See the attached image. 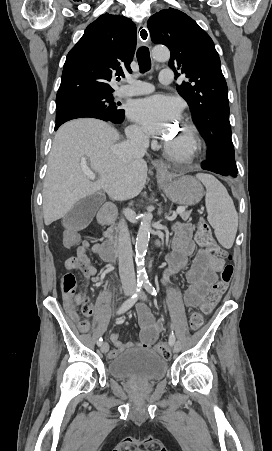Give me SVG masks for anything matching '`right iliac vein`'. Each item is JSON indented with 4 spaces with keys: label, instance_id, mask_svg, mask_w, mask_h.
<instances>
[{
    "label": "right iliac vein",
    "instance_id": "1",
    "mask_svg": "<svg viewBox=\"0 0 272 451\" xmlns=\"http://www.w3.org/2000/svg\"><path fill=\"white\" fill-rule=\"evenodd\" d=\"M132 292H133V290H132L131 288H125V289H124V296H129V295L132 294ZM100 349H101V352H102L103 354H106V353L108 352V350H109V345H108V343H107V342H103V343L101 344V346H100Z\"/></svg>",
    "mask_w": 272,
    "mask_h": 451
}]
</instances>
